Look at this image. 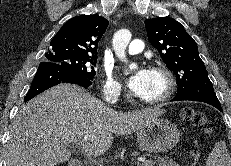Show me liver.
<instances>
[{
  "label": "liver",
  "instance_id": "liver-1",
  "mask_svg": "<svg viewBox=\"0 0 231 166\" xmlns=\"http://www.w3.org/2000/svg\"><path fill=\"white\" fill-rule=\"evenodd\" d=\"M165 113L155 107L118 112L83 88L52 87L26 103L10 126L7 166H55L70 159L73 147L87 157L105 154L113 133L130 135Z\"/></svg>",
  "mask_w": 231,
  "mask_h": 166
}]
</instances>
